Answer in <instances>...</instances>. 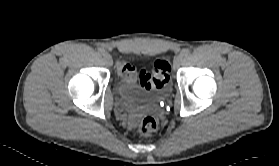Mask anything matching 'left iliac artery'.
I'll use <instances>...</instances> for the list:
<instances>
[{
    "label": "left iliac artery",
    "instance_id": "44dca946",
    "mask_svg": "<svg viewBox=\"0 0 279 166\" xmlns=\"http://www.w3.org/2000/svg\"><path fill=\"white\" fill-rule=\"evenodd\" d=\"M189 54H190L189 49H183V50L181 51V55H182V56H188Z\"/></svg>",
    "mask_w": 279,
    "mask_h": 166
}]
</instances>
